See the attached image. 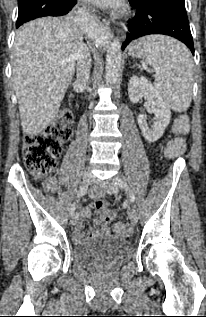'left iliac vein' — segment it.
Listing matches in <instances>:
<instances>
[{
	"label": "left iliac vein",
	"instance_id": "left-iliac-vein-1",
	"mask_svg": "<svg viewBox=\"0 0 206 317\" xmlns=\"http://www.w3.org/2000/svg\"><path fill=\"white\" fill-rule=\"evenodd\" d=\"M95 182L98 183L106 192L109 194H117L118 193V185L114 179H108L107 181H99L95 179ZM129 219L133 224L137 223L138 214L134 208H130L129 210Z\"/></svg>",
	"mask_w": 206,
	"mask_h": 317
}]
</instances>
